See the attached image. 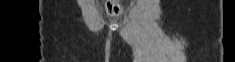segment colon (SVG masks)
<instances>
[{"instance_id": "5ec220e1", "label": "colon", "mask_w": 235, "mask_h": 62, "mask_svg": "<svg viewBox=\"0 0 235 62\" xmlns=\"http://www.w3.org/2000/svg\"><path fill=\"white\" fill-rule=\"evenodd\" d=\"M106 11L111 16H118L122 13L123 8L119 0H107Z\"/></svg>"}]
</instances>
